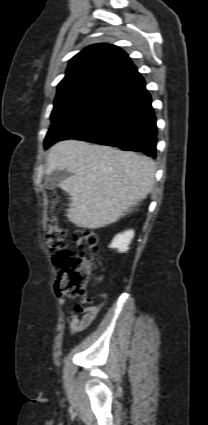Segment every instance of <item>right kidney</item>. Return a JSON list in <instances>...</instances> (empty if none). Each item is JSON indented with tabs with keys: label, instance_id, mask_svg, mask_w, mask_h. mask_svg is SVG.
I'll list each match as a JSON object with an SVG mask.
<instances>
[{
	"label": "right kidney",
	"instance_id": "1",
	"mask_svg": "<svg viewBox=\"0 0 208 425\" xmlns=\"http://www.w3.org/2000/svg\"><path fill=\"white\" fill-rule=\"evenodd\" d=\"M134 237V231L128 230L114 237L110 248H116L119 252H126L129 249V244Z\"/></svg>",
	"mask_w": 208,
	"mask_h": 425
}]
</instances>
